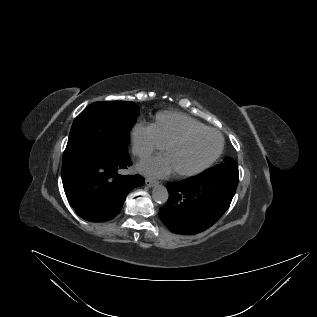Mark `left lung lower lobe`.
Here are the masks:
<instances>
[{"mask_svg":"<svg viewBox=\"0 0 317 317\" xmlns=\"http://www.w3.org/2000/svg\"><path fill=\"white\" fill-rule=\"evenodd\" d=\"M238 179L204 172L167 185L169 199L160 210L163 223L173 232L196 234L211 227L228 209Z\"/></svg>","mask_w":317,"mask_h":317,"instance_id":"obj_1","label":"left lung lower lobe"}]
</instances>
